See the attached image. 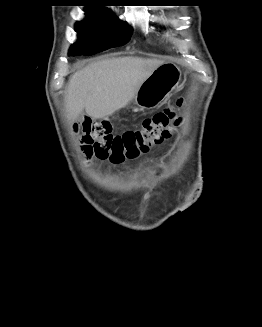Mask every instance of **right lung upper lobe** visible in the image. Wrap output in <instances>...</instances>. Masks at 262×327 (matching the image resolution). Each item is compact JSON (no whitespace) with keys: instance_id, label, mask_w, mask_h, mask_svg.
Masks as SVG:
<instances>
[{"instance_id":"obj_1","label":"right lung upper lobe","mask_w":262,"mask_h":327,"mask_svg":"<svg viewBox=\"0 0 262 327\" xmlns=\"http://www.w3.org/2000/svg\"><path fill=\"white\" fill-rule=\"evenodd\" d=\"M106 11V12H109V11H107V9H104V8H102L101 6H89L88 8H87V11Z\"/></svg>"}]
</instances>
